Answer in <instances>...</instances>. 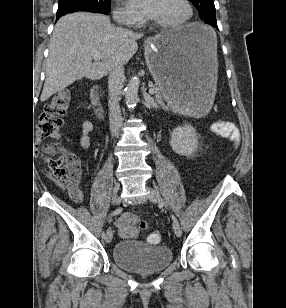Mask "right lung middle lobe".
Segmentation results:
<instances>
[{
  "instance_id": "dd1d6c3e",
  "label": "right lung middle lobe",
  "mask_w": 286,
  "mask_h": 308,
  "mask_svg": "<svg viewBox=\"0 0 286 308\" xmlns=\"http://www.w3.org/2000/svg\"><path fill=\"white\" fill-rule=\"evenodd\" d=\"M111 0H58V11L75 8H98L110 11Z\"/></svg>"
}]
</instances>
